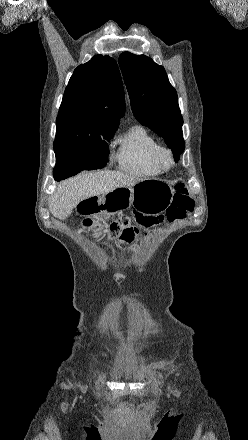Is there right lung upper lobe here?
I'll return each instance as SVG.
<instances>
[{
  "label": "right lung upper lobe",
  "instance_id": "right-lung-upper-lobe-1",
  "mask_svg": "<svg viewBox=\"0 0 248 440\" xmlns=\"http://www.w3.org/2000/svg\"><path fill=\"white\" fill-rule=\"evenodd\" d=\"M125 102L116 61L96 55L78 66L66 87L56 119L54 147L77 142L95 132L114 131Z\"/></svg>",
  "mask_w": 248,
  "mask_h": 440
}]
</instances>
